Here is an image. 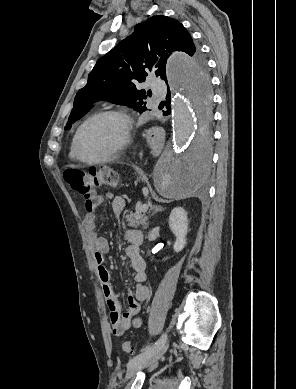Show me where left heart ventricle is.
Wrapping results in <instances>:
<instances>
[{
    "label": "left heart ventricle",
    "instance_id": "b2bd125f",
    "mask_svg": "<svg viewBox=\"0 0 296 389\" xmlns=\"http://www.w3.org/2000/svg\"><path fill=\"white\" fill-rule=\"evenodd\" d=\"M123 138V125L120 119L107 116L90 123L83 131L80 150L88 159L104 156Z\"/></svg>",
    "mask_w": 296,
    "mask_h": 389
}]
</instances>
